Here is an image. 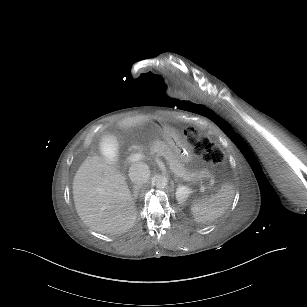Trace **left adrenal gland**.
Wrapping results in <instances>:
<instances>
[{"mask_svg":"<svg viewBox=\"0 0 307 307\" xmlns=\"http://www.w3.org/2000/svg\"><path fill=\"white\" fill-rule=\"evenodd\" d=\"M174 181H175V182H177V181H178V179H177V178H174Z\"/></svg>","mask_w":307,"mask_h":307,"instance_id":"a2214340","label":"left adrenal gland"}]
</instances>
